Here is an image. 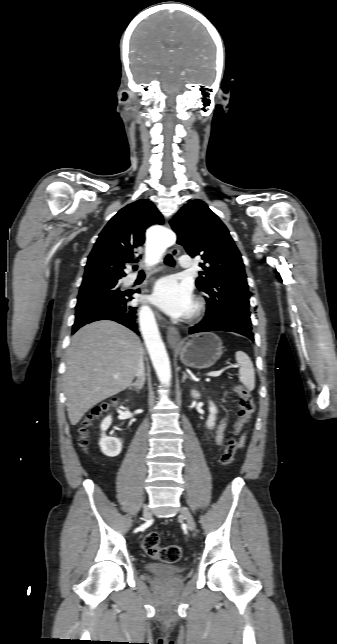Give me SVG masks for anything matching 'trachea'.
<instances>
[{"mask_svg": "<svg viewBox=\"0 0 337 644\" xmlns=\"http://www.w3.org/2000/svg\"><path fill=\"white\" fill-rule=\"evenodd\" d=\"M135 262H137V261H135ZM165 263L168 264V265H171V266L175 265V261H174V259H173V257L171 255H167V257L165 258Z\"/></svg>", "mask_w": 337, "mask_h": 644, "instance_id": "obj_1", "label": "trachea"}]
</instances>
